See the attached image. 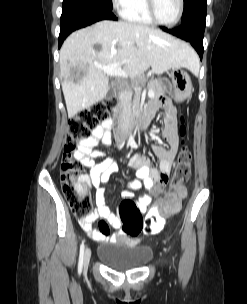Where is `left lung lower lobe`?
Instances as JSON below:
<instances>
[{"mask_svg":"<svg viewBox=\"0 0 247 304\" xmlns=\"http://www.w3.org/2000/svg\"><path fill=\"white\" fill-rule=\"evenodd\" d=\"M205 18L206 7L195 10L193 14L186 21L182 22V25L179 27L174 29H167L165 27L161 28L165 32L190 42L202 59L204 51L203 37L205 30Z\"/></svg>","mask_w":247,"mask_h":304,"instance_id":"1","label":"left lung lower lobe"}]
</instances>
